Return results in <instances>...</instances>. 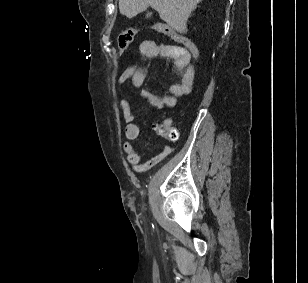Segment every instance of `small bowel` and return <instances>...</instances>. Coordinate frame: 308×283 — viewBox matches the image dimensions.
<instances>
[{
    "mask_svg": "<svg viewBox=\"0 0 308 283\" xmlns=\"http://www.w3.org/2000/svg\"><path fill=\"white\" fill-rule=\"evenodd\" d=\"M139 52L145 57L161 56L171 59L176 70L180 74V81L172 84L168 92L162 96H158L147 90H141V96L152 106L158 109L164 107H173L176 104L178 97L189 94L193 89L195 79V69L191 65V55L183 48L158 43L152 40H146L140 44ZM146 72L140 67H129L125 69L119 77L120 86L124 87L128 82L135 88H140L145 80ZM119 107L125 126L126 141L123 145L127 161L132 165L136 172H144L169 156L174 148L168 143L163 150L156 156L145 160L140 154L138 148L135 146L136 141L141 135V128L135 122V117L128 100L122 99L119 102ZM172 141V140H170Z\"/></svg>",
    "mask_w": 308,
    "mask_h": 283,
    "instance_id": "obj_1",
    "label": "small bowel"
}]
</instances>
